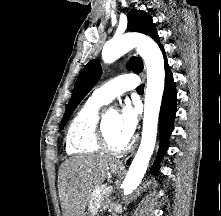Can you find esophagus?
I'll list each match as a JSON object with an SVG mask.
<instances>
[{"label": "esophagus", "instance_id": "34e87169", "mask_svg": "<svg viewBox=\"0 0 221 216\" xmlns=\"http://www.w3.org/2000/svg\"><path fill=\"white\" fill-rule=\"evenodd\" d=\"M116 164L119 165V166H122L123 162L122 161H117Z\"/></svg>", "mask_w": 221, "mask_h": 216}]
</instances>
